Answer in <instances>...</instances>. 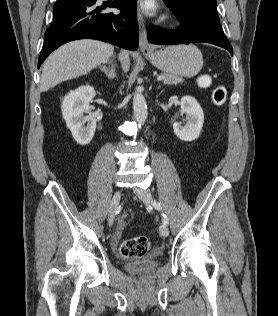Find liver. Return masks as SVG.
I'll list each match as a JSON object with an SVG mask.
<instances>
[{
	"mask_svg": "<svg viewBox=\"0 0 278 316\" xmlns=\"http://www.w3.org/2000/svg\"><path fill=\"white\" fill-rule=\"evenodd\" d=\"M113 54V46L97 40L82 39L69 42L54 51L43 65L40 90L47 91L57 84L85 75ZM122 69L130 67L127 52L120 53Z\"/></svg>",
	"mask_w": 278,
	"mask_h": 316,
	"instance_id": "6515ba94",
	"label": "liver"
}]
</instances>
